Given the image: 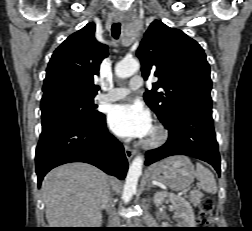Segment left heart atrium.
I'll return each instance as SVG.
<instances>
[{"instance_id":"left-heart-atrium-1","label":"left heart atrium","mask_w":252,"mask_h":231,"mask_svg":"<svg viewBox=\"0 0 252 231\" xmlns=\"http://www.w3.org/2000/svg\"><path fill=\"white\" fill-rule=\"evenodd\" d=\"M108 123L116 135L127 139H145L152 130L149 111L137 102L115 105L108 115Z\"/></svg>"}]
</instances>
